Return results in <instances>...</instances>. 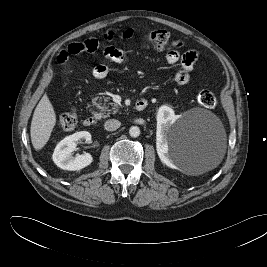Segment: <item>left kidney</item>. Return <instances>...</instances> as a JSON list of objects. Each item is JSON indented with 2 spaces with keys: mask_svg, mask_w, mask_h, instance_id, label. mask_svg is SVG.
I'll use <instances>...</instances> for the list:
<instances>
[{
  "mask_svg": "<svg viewBox=\"0 0 267 267\" xmlns=\"http://www.w3.org/2000/svg\"><path fill=\"white\" fill-rule=\"evenodd\" d=\"M178 118L179 116L175 115L174 110L169 106L162 105L159 107L157 112L156 149L161 162L172 169H177V166L175 165L173 157L169 152L168 142L166 141L164 134Z\"/></svg>",
  "mask_w": 267,
  "mask_h": 267,
  "instance_id": "obj_1",
  "label": "left kidney"
}]
</instances>
